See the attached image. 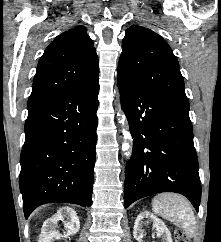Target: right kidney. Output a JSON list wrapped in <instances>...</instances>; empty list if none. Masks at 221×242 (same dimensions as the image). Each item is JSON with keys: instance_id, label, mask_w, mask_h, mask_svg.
Listing matches in <instances>:
<instances>
[{"instance_id": "obj_1", "label": "right kidney", "mask_w": 221, "mask_h": 242, "mask_svg": "<svg viewBox=\"0 0 221 242\" xmlns=\"http://www.w3.org/2000/svg\"><path fill=\"white\" fill-rule=\"evenodd\" d=\"M60 221L64 223L66 230L63 234L57 230ZM79 229L80 222L76 211L70 207H63L44 222L39 242H53L61 238H69L76 234Z\"/></svg>"}]
</instances>
